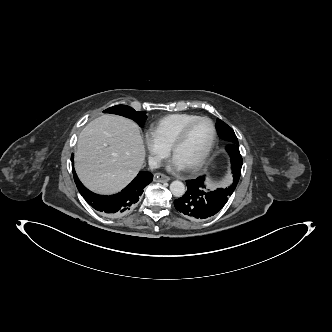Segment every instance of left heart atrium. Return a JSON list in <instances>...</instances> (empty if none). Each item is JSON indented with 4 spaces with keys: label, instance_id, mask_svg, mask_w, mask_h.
Listing matches in <instances>:
<instances>
[{
    "label": "left heart atrium",
    "instance_id": "obj_1",
    "mask_svg": "<svg viewBox=\"0 0 332 332\" xmlns=\"http://www.w3.org/2000/svg\"><path fill=\"white\" fill-rule=\"evenodd\" d=\"M171 168L174 170H181L184 166L175 157H173L171 161Z\"/></svg>",
    "mask_w": 332,
    "mask_h": 332
}]
</instances>
